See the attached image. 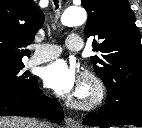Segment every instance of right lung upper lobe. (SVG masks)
<instances>
[{"label":"right lung upper lobe","mask_w":142,"mask_h":128,"mask_svg":"<svg viewBox=\"0 0 142 128\" xmlns=\"http://www.w3.org/2000/svg\"><path fill=\"white\" fill-rule=\"evenodd\" d=\"M44 21L43 12L33 0H0V65L22 63L30 51L35 33Z\"/></svg>","instance_id":"right-lung-upper-lobe-1"}]
</instances>
